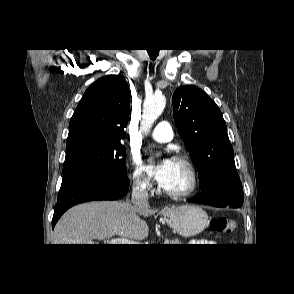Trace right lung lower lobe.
Masks as SVG:
<instances>
[{
    "instance_id": "98d812e1",
    "label": "right lung lower lobe",
    "mask_w": 294,
    "mask_h": 294,
    "mask_svg": "<svg viewBox=\"0 0 294 294\" xmlns=\"http://www.w3.org/2000/svg\"><path fill=\"white\" fill-rule=\"evenodd\" d=\"M129 188L127 178L102 175H80L62 183L57 197L52 227L70 207L93 200H116L126 195Z\"/></svg>"
}]
</instances>
